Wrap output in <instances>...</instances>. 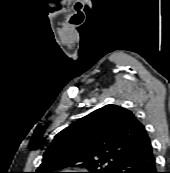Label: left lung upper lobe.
I'll return each mask as SVG.
<instances>
[{"instance_id":"obj_1","label":"left lung upper lobe","mask_w":170,"mask_h":173,"mask_svg":"<svg viewBox=\"0 0 170 173\" xmlns=\"http://www.w3.org/2000/svg\"><path fill=\"white\" fill-rule=\"evenodd\" d=\"M151 143L134 114L117 105H106L80 118L55 137L35 173L84 167L87 173H113L128 155Z\"/></svg>"}]
</instances>
